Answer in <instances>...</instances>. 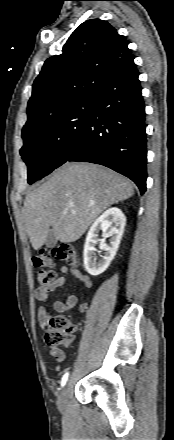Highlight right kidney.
Returning <instances> with one entry per match:
<instances>
[{"instance_id":"obj_1","label":"right kidney","mask_w":174,"mask_h":440,"mask_svg":"<svg viewBox=\"0 0 174 440\" xmlns=\"http://www.w3.org/2000/svg\"><path fill=\"white\" fill-rule=\"evenodd\" d=\"M125 224V215L116 207L106 210L94 221L87 233L83 252L84 266L90 275L97 276L109 267L118 250ZM99 231H102L103 239H99ZM106 238H110L109 245L105 243ZM98 242H100V249L105 253L97 262L95 246Z\"/></svg>"}]
</instances>
